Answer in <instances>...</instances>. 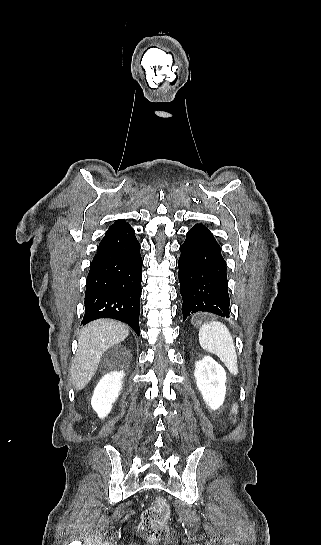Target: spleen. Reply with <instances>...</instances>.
<instances>
[{
	"instance_id": "obj_1",
	"label": "spleen",
	"mask_w": 321,
	"mask_h": 545,
	"mask_svg": "<svg viewBox=\"0 0 321 545\" xmlns=\"http://www.w3.org/2000/svg\"><path fill=\"white\" fill-rule=\"evenodd\" d=\"M198 339L202 349L217 355L231 375H238L236 349L226 325L219 321L204 323L199 329Z\"/></svg>"
}]
</instances>
